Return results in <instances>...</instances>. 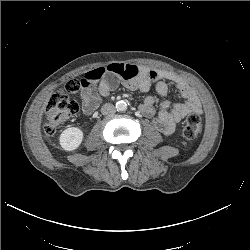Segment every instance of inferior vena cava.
<instances>
[{"instance_id":"1","label":"inferior vena cava","mask_w":250,"mask_h":250,"mask_svg":"<svg viewBox=\"0 0 250 250\" xmlns=\"http://www.w3.org/2000/svg\"><path fill=\"white\" fill-rule=\"evenodd\" d=\"M101 112L103 114H108V113H114L115 112V106L110 103H106L102 106Z\"/></svg>"}]
</instances>
